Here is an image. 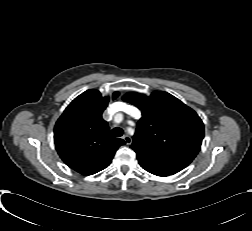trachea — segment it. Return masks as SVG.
I'll return each instance as SVG.
<instances>
[{
    "label": "trachea",
    "instance_id": "obj_1",
    "mask_svg": "<svg viewBox=\"0 0 252 231\" xmlns=\"http://www.w3.org/2000/svg\"><path fill=\"white\" fill-rule=\"evenodd\" d=\"M123 133H124V131H123V129H121V128H114V129L112 130V135H113L114 137H121V136L123 135Z\"/></svg>",
    "mask_w": 252,
    "mask_h": 231
}]
</instances>
